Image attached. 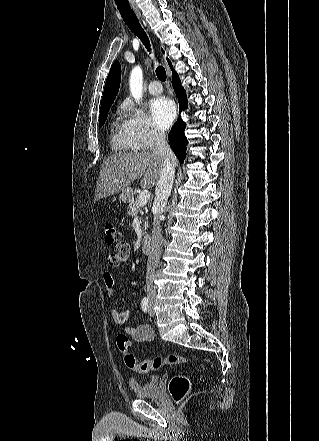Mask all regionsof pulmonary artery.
Returning <instances> with one entry per match:
<instances>
[{"instance_id": "1", "label": "pulmonary artery", "mask_w": 319, "mask_h": 441, "mask_svg": "<svg viewBox=\"0 0 319 441\" xmlns=\"http://www.w3.org/2000/svg\"><path fill=\"white\" fill-rule=\"evenodd\" d=\"M149 93L152 95H158L162 92V86L158 81H152L149 84Z\"/></svg>"}]
</instances>
